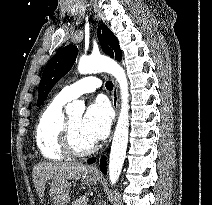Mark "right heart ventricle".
Returning a JSON list of instances; mask_svg holds the SVG:
<instances>
[{"instance_id": "obj_1", "label": "right heart ventricle", "mask_w": 212, "mask_h": 205, "mask_svg": "<svg viewBox=\"0 0 212 205\" xmlns=\"http://www.w3.org/2000/svg\"><path fill=\"white\" fill-rule=\"evenodd\" d=\"M67 101L54 97L41 111L35 128V142L42 156L51 161H61L67 154L60 145V135L65 120L63 106Z\"/></svg>"}]
</instances>
